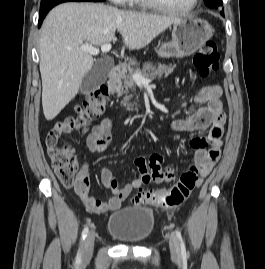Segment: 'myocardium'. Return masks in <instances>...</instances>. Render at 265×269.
<instances>
[{"label":"myocardium","instance_id":"obj_1","mask_svg":"<svg viewBox=\"0 0 265 269\" xmlns=\"http://www.w3.org/2000/svg\"><path fill=\"white\" fill-rule=\"evenodd\" d=\"M198 1L199 0H192L189 6L185 8H177V7L169 6L161 2L160 0H145L146 4L153 9L164 11V12L180 13V14L188 13L192 11L197 6Z\"/></svg>","mask_w":265,"mask_h":269}]
</instances>
